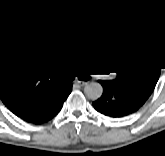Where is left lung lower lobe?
Returning a JSON list of instances; mask_svg holds the SVG:
<instances>
[{
	"instance_id": "0a47b994",
	"label": "left lung lower lobe",
	"mask_w": 165,
	"mask_h": 156,
	"mask_svg": "<svg viewBox=\"0 0 165 156\" xmlns=\"http://www.w3.org/2000/svg\"><path fill=\"white\" fill-rule=\"evenodd\" d=\"M103 86L102 96L94 101L93 107L110 117H123L136 112L146 101L123 89L113 80L98 81Z\"/></svg>"
}]
</instances>
